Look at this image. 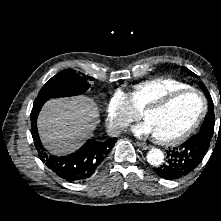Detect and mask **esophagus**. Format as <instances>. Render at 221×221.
Listing matches in <instances>:
<instances>
[{
    "instance_id": "34e87169",
    "label": "esophagus",
    "mask_w": 221,
    "mask_h": 221,
    "mask_svg": "<svg viewBox=\"0 0 221 221\" xmlns=\"http://www.w3.org/2000/svg\"><path fill=\"white\" fill-rule=\"evenodd\" d=\"M136 145H137L138 147L144 149V150H147V149L150 148V146H148V145H147L146 143H144V142H139V141H137V142H136Z\"/></svg>"
}]
</instances>
